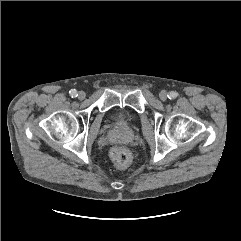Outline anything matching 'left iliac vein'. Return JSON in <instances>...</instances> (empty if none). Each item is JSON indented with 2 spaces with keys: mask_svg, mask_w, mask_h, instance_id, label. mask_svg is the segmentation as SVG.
Here are the masks:
<instances>
[{
  "mask_svg": "<svg viewBox=\"0 0 241 241\" xmlns=\"http://www.w3.org/2000/svg\"><path fill=\"white\" fill-rule=\"evenodd\" d=\"M159 97L162 101H165V100H167L168 93L166 91H161L159 94Z\"/></svg>",
  "mask_w": 241,
  "mask_h": 241,
  "instance_id": "left-iliac-vein-1",
  "label": "left iliac vein"
}]
</instances>
